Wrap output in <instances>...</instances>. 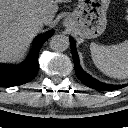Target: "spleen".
<instances>
[{
  "mask_svg": "<svg viewBox=\"0 0 128 128\" xmlns=\"http://www.w3.org/2000/svg\"><path fill=\"white\" fill-rule=\"evenodd\" d=\"M91 56L96 67L107 76L128 78V40L115 45H90Z\"/></svg>",
  "mask_w": 128,
  "mask_h": 128,
  "instance_id": "1",
  "label": "spleen"
}]
</instances>
